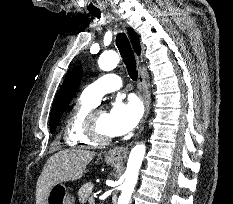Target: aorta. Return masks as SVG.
<instances>
[{
  "instance_id": "aorta-1",
  "label": "aorta",
  "mask_w": 233,
  "mask_h": 204,
  "mask_svg": "<svg viewBox=\"0 0 233 204\" xmlns=\"http://www.w3.org/2000/svg\"><path fill=\"white\" fill-rule=\"evenodd\" d=\"M119 55L114 51L103 53L98 65L103 71L113 70L119 63ZM146 147L144 144H137L130 152L127 168L124 173L125 181L122 185V192L118 199V204H129L131 195L137 183L138 174L145 155Z\"/></svg>"
}]
</instances>
